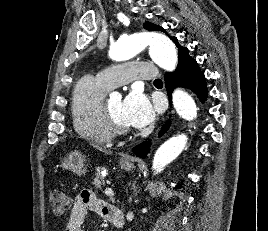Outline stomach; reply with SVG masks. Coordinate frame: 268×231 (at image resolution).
Listing matches in <instances>:
<instances>
[{"label":"stomach","instance_id":"obj_1","mask_svg":"<svg viewBox=\"0 0 268 231\" xmlns=\"http://www.w3.org/2000/svg\"><path fill=\"white\" fill-rule=\"evenodd\" d=\"M120 166L126 171L134 169V164L131 161L121 160ZM60 167L63 170H70L78 175L85 174L87 170L86 156L80 151H72L63 158Z\"/></svg>","mask_w":268,"mask_h":231}]
</instances>
